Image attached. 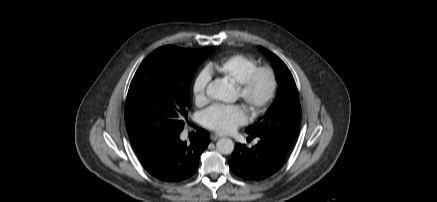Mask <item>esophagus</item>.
Here are the masks:
<instances>
[{
  "label": "esophagus",
  "instance_id": "34e87169",
  "mask_svg": "<svg viewBox=\"0 0 437 202\" xmlns=\"http://www.w3.org/2000/svg\"><path fill=\"white\" fill-rule=\"evenodd\" d=\"M210 137H211L212 141H216V140L220 139V136L217 134H214V133H212Z\"/></svg>",
  "mask_w": 437,
  "mask_h": 202
}]
</instances>
